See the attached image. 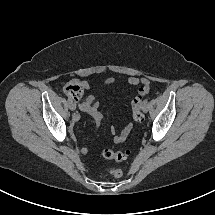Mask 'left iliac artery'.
<instances>
[{
	"instance_id": "left-iliac-artery-1",
	"label": "left iliac artery",
	"mask_w": 215,
	"mask_h": 215,
	"mask_svg": "<svg viewBox=\"0 0 215 215\" xmlns=\"http://www.w3.org/2000/svg\"><path fill=\"white\" fill-rule=\"evenodd\" d=\"M148 99H143L142 101H139L138 103V109L141 111L143 109L144 103L147 102Z\"/></svg>"
}]
</instances>
